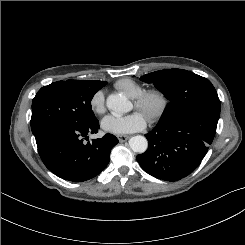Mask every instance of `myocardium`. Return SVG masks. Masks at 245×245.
Segmentation results:
<instances>
[{
    "label": "myocardium",
    "mask_w": 245,
    "mask_h": 245,
    "mask_svg": "<svg viewBox=\"0 0 245 245\" xmlns=\"http://www.w3.org/2000/svg\"><path fill=\"white\" fill-rule=\"evenodd\" d=\"M133 102L135 108L145 114L149 123H155L166 114L170 101L162 89L150 88L133 98ZM153 104L155 107H152Z\"/></svg>",
    "instance_id": "1"
}]
</instances>
